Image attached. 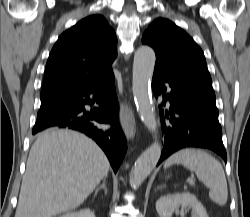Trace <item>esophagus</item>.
I'll return each mask as SVG.
<instances>
[{
  "label": "esophagus",
  "instance_id": "34e87169",
  "mask_svg": "<svg viewBox=\"0 0 250 217\" xmlns=\"http://www.w3.org/2000/svg\"><path fill=\"white\" fill-rule=\"evenodd\" d=\"M120 122L128 140H133L136 136L135 121L132 108L126 103L120 106Z\"/></svg>",
  "mask_w": 250,
  "mask_h": 217
}]
</instances>
